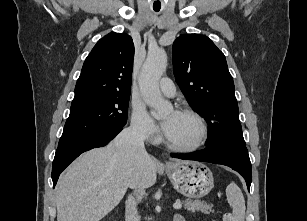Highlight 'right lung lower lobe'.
<instances>
[{"label":"right lung lower lobe","mask_w":307,"mask_h":221,"mask_svg":"<svg viewBox=\"0 0 307 221\" xmlns=\"http://www.w3.org/2000/svg\"><path fill=\"white\" fill-rule=\"evenodd\" d=\"M123 127L106 132L84 136L76 140L58 145L52 164L53 187L56 185L61 172L81 153L92 148L103 147L109 143Z\"/></svg>","instance_id":"obj_1"}]
</instances>
